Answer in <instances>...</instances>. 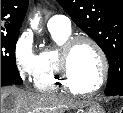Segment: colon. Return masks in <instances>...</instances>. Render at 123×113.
<instances>
[{
    "mask_svg": "<svg viewBox=\"0 0 123 113\" xmlns=\"http://www.w3.org/2000/svg\"><path fill=\"white\" fill-rule=\"evenodd\" d=\"M120 113H123V107H121V109H120Z\"/></svg>",
    "mask_w": 123,
    "mask_h": 113,
    "instance_id": "5ec220e1",
    "label": "colon"
}]
</instances>
